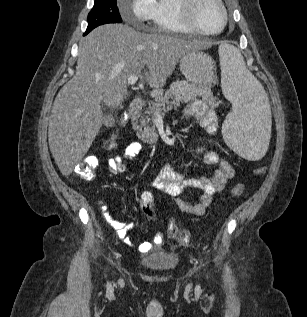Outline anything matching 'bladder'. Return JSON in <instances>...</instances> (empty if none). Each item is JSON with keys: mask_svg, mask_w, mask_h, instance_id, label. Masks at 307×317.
Masks as SVG:
<instances>
[{"mask_svg": "<svg viewBox=\"0 0 307 317\" xmlns=\"http://www.w3.org/2000/svg\"><path fill=\"white\" fill-rule=\"evenodd\" d=\"M143 266L151 271H170L175 268L178 258L175 255L145 256L140 259Z\"/></svg>", "mask_w": 307, "mask_h": 317, "instance_id": "1", "label": "bladder"}]
</instances>
